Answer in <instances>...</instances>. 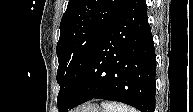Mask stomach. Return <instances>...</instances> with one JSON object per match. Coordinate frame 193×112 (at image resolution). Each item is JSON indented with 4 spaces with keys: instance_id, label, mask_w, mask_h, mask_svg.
I'll return each instance as SVG.
<instances>
[{
    "instance_id": "obj_1",
    "label": "stomach",
    "mask_w": 193,
    "mask_h": 112,
    "mask_svg": "<svg viewBox=\"0 0 193 112\" xmlns=\"http://www.w3.org/2000/svg\"><path fill=\"white\" fill-rule=\"evenodd\" d=\"M81 112H102V110L99 108V106L93 104L83 108Z\"/></svg>"
}]
</instances>
